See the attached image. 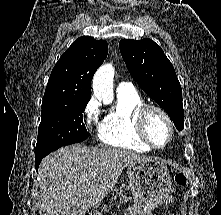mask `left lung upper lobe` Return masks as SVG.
Returning a JSON list of instances; mask_svg holds the SVG:
<instances>
[{"label":"left lung upper lobe","instance_id":"1","mask_svg":"<svg viewBox=\"0 0 221 215\" xmlns=\"http://www.w3.org/2000/svg\"><path fill=\"white\" fill-rule=\"evenodd\" d=\"M129 73L138 85L163 108L180 131L184 128L182 88L173 65L151 39L119 42Z\"/></svg>","mask_w":221,"mask_h":215}]
</instances>
